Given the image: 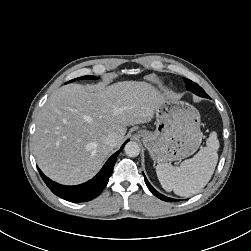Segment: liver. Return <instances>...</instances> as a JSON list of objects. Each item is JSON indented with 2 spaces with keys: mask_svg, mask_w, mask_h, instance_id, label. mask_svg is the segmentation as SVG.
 Instances as JSON below:
<instances>
[{
  "mask_svg": "<svg viewBox=\"0 0 251 251\" xmlns=\"http://www.w3.org/2000/svg\"><path fill=\"white\" fill-rule=\"evenodd\" d=\"M164 99L154 86L139 81L59 88L37 118L33 143L39 167L65 185L91 179L122 144L126 127L150 122ZM111 133L117 135L115 146L106 143Z\"/></svg>",
  "mask_w": 251,
  "mask_h": 251,
  "instance_id": "6515ba94",
  "label": "liver"
}]
</instances>
